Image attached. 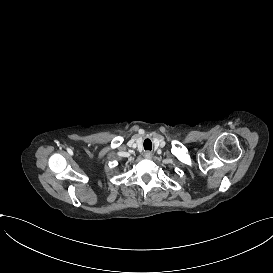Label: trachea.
<instances>
[{
    "label": "trachea",
    "mask_w": 273,
    "mask_h": 273,
    "mask_svg": "<svg viewBox=\"0 0 273 273\" xmlns=\"http://www.w3.org/2000/svg\"><path fill=\"white\" fill-rule=\"evenodd\" d=\"M144 148H145V150H151L152 149V143H151V141L150 140H145V142H144Z\"/></svg>",
    "instance_id": "1"
}]
</instances>
